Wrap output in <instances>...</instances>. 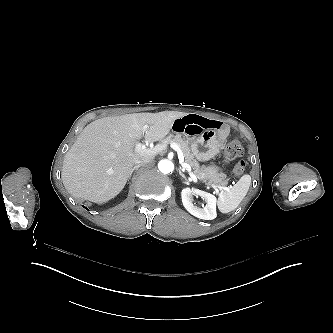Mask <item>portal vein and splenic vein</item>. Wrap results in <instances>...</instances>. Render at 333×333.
Masks as SVG:
<instances>
[{"mask_svg":"<svg viewBox=\"0 0 333 333\" xmlns=\"http://www.w3.org/2000/svg\"><path fill=\"white\" fill-rule=\"evenodd\" d=\"M148 127H149L148 125H144L143 130L146 131ZM170 147L174 151L177 152L179 164L182 166V168L185 169L186 171H188L191 179L194 182H197V177L192 172L191 166L184 161V154H183V151L181 150L180 146L177 143H175V142H171L170 143ZM165 149H166V145L165 144H158V145H156L153 148H146V146L143 145L142 143H137L135 145V152H137L138 154H140L142 156H155V155H157L158 153L162 152ZM212 188H214L216 190L217 188H221V187L212 185ZM227 189L228 188H226V190Z\"/></svg>","mask_w":333,"mask_h":333,"instance_id":"obj_1","label":"portal vein and splenic vein"}]
</instances>
